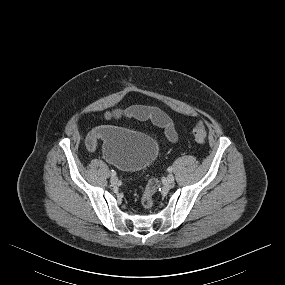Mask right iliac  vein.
Instances as JSON below:
<instances>
[{
  "label": "right iliac vein",
  "mask_w": 285,
  "mask_h": 285,
  "mask_svg": "<svg viewBox=\"0 0 285 285\" xmlns=\"http://www.w3.org/2000/svg\"><path fill=\"white\" fill-rule=\"evenodd\" d=\"M111 183L112 184H116L117 183V181H118V178L116 177V176H111Z\"/></svg>",
  "instance_id": "63e3f726"
}]
</instances>
